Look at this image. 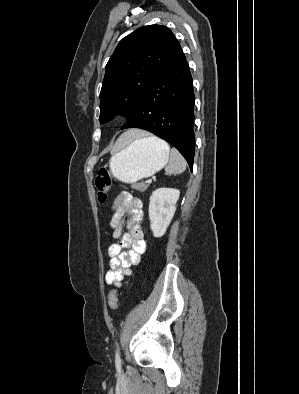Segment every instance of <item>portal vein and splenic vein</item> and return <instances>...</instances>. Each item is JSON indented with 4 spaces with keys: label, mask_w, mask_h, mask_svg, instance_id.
<instances>
[{
    "label": "portal vein and splenic vein",
    "mask_w": 299,
    "mask_h": 394,
    "mask_svg": "<svg viewBox=\"0 0 299 394\" xmlns=\"http://www.w3.org/2000/svg\"><path fill=\"white\" fill-rule=\"evenodd\" d=\"M152 182L151 179H147V183L150 184Z\"/></svg>",
    "instance_id": "1"
}]
</instances>
